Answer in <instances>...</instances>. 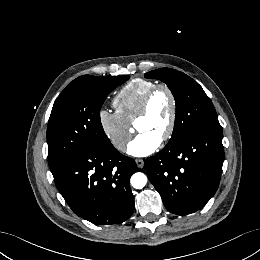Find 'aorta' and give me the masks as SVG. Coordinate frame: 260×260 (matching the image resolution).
<instances>
[{
  "label": "aorta",
  "instance_id": "obj_1",
  "mask_svg": "<svg viewBox=\"0 0 260 260\" xmlns=\"http://www.w3.org/2000/svg\"><path fill=\"white\" fill-rule=\"evenodd\" d=\"M130 183L135 189H142L147 183V176L144 173L136 172L132 175Z\"/></svg>",
  "mask_w": 260,
  "mask_h": 260
}]
</instances>
